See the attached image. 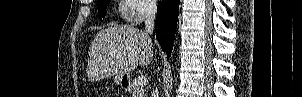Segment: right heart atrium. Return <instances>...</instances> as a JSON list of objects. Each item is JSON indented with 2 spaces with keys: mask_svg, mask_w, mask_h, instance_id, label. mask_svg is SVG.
Here are the masks:
<instances>
[{
  "mask_svg": "<svg viewBox=\"0 0 302 97\" xmlns=\"http://www.w3.org/2000/svg\"><path fill=\"white\" fill-rule=\"evenodd\" d=\"M131 7L125 13V19L132 24H139L155 12L152 1L129 0Z\"/></svg>",
  "mask_w": 302,
  "mask_h": 97,
  "instance_id": "obj_1",
  "label": "right heart atrium"
}]
</instances>
